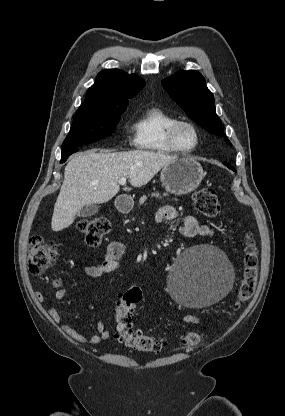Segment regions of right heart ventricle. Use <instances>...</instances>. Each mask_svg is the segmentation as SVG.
Masks as SVG:
<instances>
[{
    "instance_id": "1",
    "label": "right heart ventricle",
    "mask_w": 285,
    "mask_h": 416,
    "mask_svg": "<svg viewBox=\"0 0 285 416\" xmlns=\"http://www.w3.org/2000/svg\"><path fill=\"white\" fill-rule=\"evenodd\" d=\"M176 120V116L161 106L148 107L134 124L136 146L155 154L174 153L168 141V130Z\"/></svg>"
}]
</instances>
